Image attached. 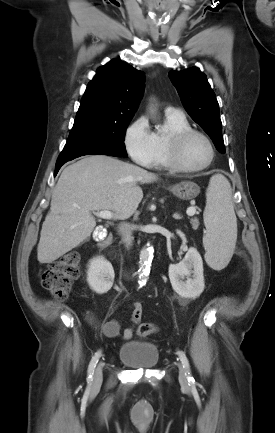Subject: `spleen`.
I'll return each mask as SVG.
<instances>
[{
    "mask_svg": "<svg viewBox=\"0 0 275 433\" xmlns=\"http://www.w3.org/2000/svg\"><path fill=\"white\" fill-rule=\"evenodd\" d=\"M203 216L207 230L203 238L205 260L211 268L221 270L229 263L237 240L231 186L221 174L210 179Z\"/></svg>",
    "mask_w": 275,
    "mask_h": 433,
    "instance_id": "obj_1",
    "label": "spleen"
}]
</instances>
